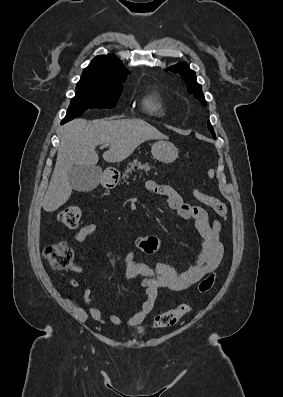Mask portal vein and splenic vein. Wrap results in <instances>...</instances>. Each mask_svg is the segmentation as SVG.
Returning a JSON list of instances; mask_svg holds the SVG:
<instances>
[{"label": "portal vein and splenic vein", "instance_id": "obj_1", "mask_svg": "<svg viewBox=\"0 0 283 397\" xmlns=\"http://www.w3.org/2000/svg\"><path fill=\"white\" fill-rule=\"evenodd\" d=\"M103 146H104V147H108V146H109V144H103Z\"/></svg>", "mask_w": 283, "mask_h": 397}]
</instances>
